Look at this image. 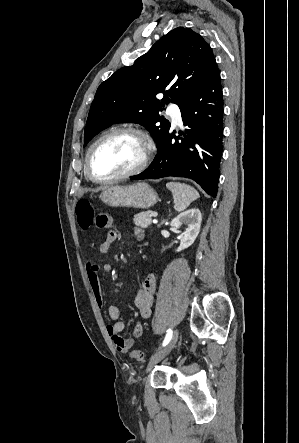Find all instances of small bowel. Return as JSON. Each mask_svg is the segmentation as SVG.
I'll list each match as a JSON object with an SVG mask.
<instances>
[{
    "mask_svg": "<svg viewBox=\"0 0 299 443\" xmlns=\"http://www.w3.org/2000/svg\"><path fill=\"white\" fill-rule=\"evenodd\" d=\"M115 221L113 217L109 214H100L97 217V227L107 229L114 225ZM135 235L138 239L143 237V232L141 229L137 228L135 230ZM118 233L116 230H109L105 240L99 245V251L102 254L109 252L111 245L117 240ZM87 277L90 288L98 306L101 308L105 304L104 296L102 293L101 283H100V273H108L111 271L112 266L108 262L98 263L94 260L87 263ZM157 285V277L155 274H149L142 286L139 288L134 304L138 309L139 315L142 318H149L152 313V306L154 302V293ZM107 314L111 323L106 326L107 333L109 334L112 344L115 349L119 352L126 353L134 345L136 337L142 334V327L140 324L136 326L134 331V337H122L120 333L124 330V322L120 318V312L116 305L109 304L107 306Z\"/></svg>",
    "mask_w": 299,
    "mask_h": 443,
    "instance_id": "c3829d8e",
    "label": "small bowel"
}]
</instances>
